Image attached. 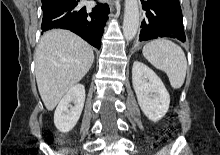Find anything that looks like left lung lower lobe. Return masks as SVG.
<instances>
[{"label":"left lung lower lobe","mask_w":220,"mask_h":155,"mask_svg":"<svg viewBox=\"0 0 220 155\" xmlns=\"http://www.w3.org/2000/svg\"><path fill=\"white\" fill-rule=\"evenodd\" d=\"M145 10L140 41L158 37L186 40L179 0H141Z\"/></svg>","instance_id":"1"}]
</instances>
